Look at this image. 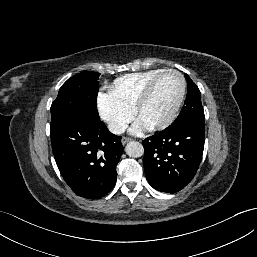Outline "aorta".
I'll use <instances>...</instances> for the list:
<instances>
[{
	"label": "aorta",
	"instance_id": "aorta-1",
	"mask_svg": "<svg viewBox=\"0 0 257 257\" xmlns=\"http://www.w3.org/2000/svg\"><path fill=\"white\" fill-rule=\"evenodd\" d=\"M126 153L130 157H141L144 153V148L141 143L137 141H131L126 145Z\"/></svg>",
	"mask_w": 257,
	"mask_h": 257
}]
</instances>
